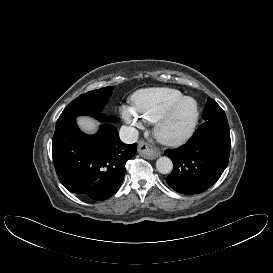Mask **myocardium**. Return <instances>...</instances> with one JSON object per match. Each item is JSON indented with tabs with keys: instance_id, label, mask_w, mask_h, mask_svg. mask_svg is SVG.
Returning a JSON list of instances; mask_svg holds the SVG:
<instances>
[{
	"instance_id": "f54148a6",
	"label": "myocardium",
	"mask_w": 273,
	"mask_h": 273,
	"mask_svg": "<svg viewBox=\"0 0 273 273\" xmlns=\"http://www.w3.org/2000/svg\"><path fill=\"white\" fill-rule=\"evenodd\" d=\"M187 101L193 102L195 106V114L190 125L184 132L180 133L179 135H176L173 137L166 136L163 133V128L166 122L171 118L174 112L182 104H184ZM199 119H200V108L197 101L192 97L184 96L180 98L179 100L170 104L156 119V121L154 122V134L156 138L164 145L173 146V147L180 146L184 144L185 142H187L193 136L194 132L196 131Z\"/></svg>"
}]
</instances>
